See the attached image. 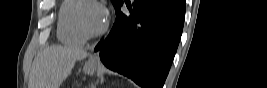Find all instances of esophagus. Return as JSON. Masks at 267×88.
Returning a JSON list of instances; mask_svg holds the SVG:
<instances>
[{
	"instance_id": "esophagus-1",
	"label": "esophagus",
	"mask_w": 267,
	"mask_h": 88,
	"mask_svg": "<svg viewBox=\"0 0 267 88\" xmlns=\"http://www.w3.org/2000/svg\"><path fill=\"white\" fill-rule=\"evenodd\" d=\"M90 61H92V62L97 61V56H92V57L90 58Z\"/></svg>"
}]
</instances>
